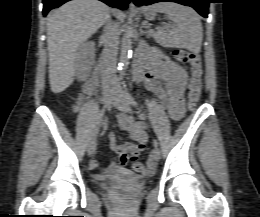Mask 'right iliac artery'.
<instances>
[{
	"mask_svg": "<svg viewBox=\"0 0 260 217\" xmlns=\"http://www.w3.org/2000/svg\"><path fill=\"white\" fill-rule=\"evenodd\" d=\"M110 103L111 102H109L107 105H105L100 112L99 121H98L97 127L94 132V139L98 136L99 132L101 131V127L104 124V114H105L106 108L110 107Z\"/></svg>",
	"mask_w": 260,
	"mask_h": 217,
	"instance_id": "right-iliac-artery-1",
	"label": "right iliac artery"
}]
</instances>
